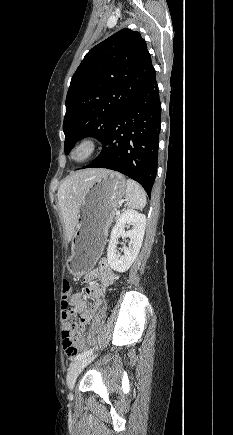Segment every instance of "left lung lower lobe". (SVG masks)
I'll return each instance as SVG.
<instances>
[{
	"instance_id": "1",
	"label": "left lung lower lobe",
	"mask_w": 233,
	"mask_h": 435,
	"mask_svg": "<svg viewBox=\"0 0 233 435\" xmlns=\"http://www.w3.org/2000/svg\"><path fill=\"white\" fill-rule=\"evenodd\" d=\"M161 105L156 73L111 124L97 159L83 168H107L139 182L151 195L157 172Z\"/></svg>"
}]
</instances>
